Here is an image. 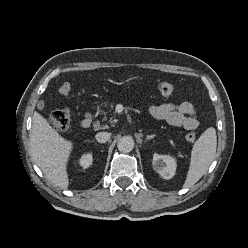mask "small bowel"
Masks as SVG:
<instances>
[{"label":"small bowel","instance_id":"1","mask_svg":"<svg viewBox=\"0 0 248 248\" xmlns=\"http://www.w3.org/2000/svg\"><path fill=\"white\" fill-rule=\"evenodd\" d=\"M149 113L155 119L163 120L171 126L183 127L186 130H194L199 125L195 108L187 99H182L177 103L152 106Z\"/></svg>","mask_w":248,"mask_h":248}]
</instances>
